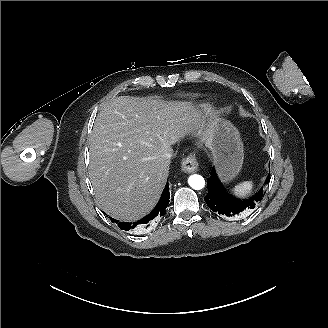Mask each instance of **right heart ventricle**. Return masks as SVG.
<instances>
[{
    "instance_id": "right-heart-ventricle-1",
    "label": "right heart ventricle",
    "mask_w": 328,
    "mask_h": 328,
    "mask_svg": "<svg viewBox=\"0 0 328 328\" xmlns=\"http://www.w3.org/2000/svg\"><path fill=\"white\" fill-rule=\"evenodd\" d=\"M212 107L213 104L206 100L186 101L178 111L180 117L179 138L191 136L199 131L203 127L206 115Z\"/></svg>"
}]
</instances>
